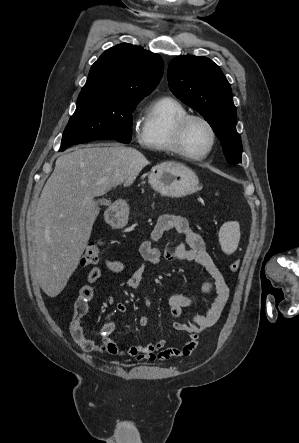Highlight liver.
<instances>
[{"mask_svg": "<svg viewBox=\"0 0 299 443\" xmlns=\"http://www.w3.org/2000/svg\"><path fill=\"white\" fill-rule=\"evenodd\" d=\"M148 164L135 148L117 144L76 148L58 157L34 218L35 274L49 297L61 293L78 266L100 212L94 198L134 181Z\"/></svg>", "mask_w": 299, "mask_h": 443, "instance_id": "liver-1", "label": "liver"}]
</instances>
